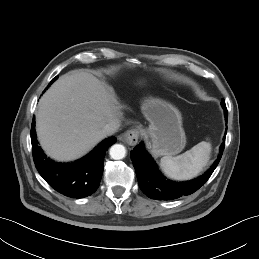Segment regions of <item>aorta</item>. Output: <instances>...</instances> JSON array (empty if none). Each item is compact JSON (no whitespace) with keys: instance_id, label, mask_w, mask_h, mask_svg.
I'll list each match as a JSON object with an SVG mask.
<instances>
[{"instance_id":"762f6f07","label":"aorta","mask_w":259,"mask_h":259,"mask_svg":"<svg viewBox=\"0 0 259 259\" xmlns=\"http://www.w3.org/2000/svg\"><path fill=\"white\" fill-rule=\"evenodd\" d=\"M109 154L112 159L119 160L123 159L126 155V149L121 144H114L109 151Z\"/></svg>"}]
</instances>
